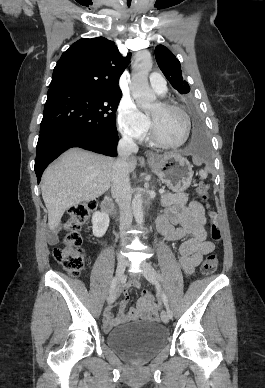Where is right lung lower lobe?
Wrapping results in <instances>:
<instances>
[{
	"mask_svg": "<svg viewBox=\"0 0 265 388\" xmlns=\"http://www.w3.org/2000/svg\"><path fill=\"white\" fill-rule=\"evenodd\" d=\"M119 137L107 136L79 127H59L40 133L34 170L38 183L44 169L62 152L81 147L96 153L116 156Z\"/></svg>",
	"mask_w": 265,
	"mask_h": 388,
	"instance_id": "1",
	"label": "right lung lower lobe"
}]
</instances>
